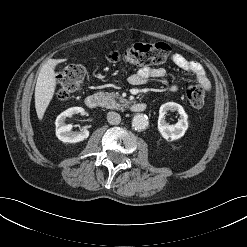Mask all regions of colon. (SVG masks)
Masks as SVG:
<instances>
[{
  "label": "colon",
  "instance_id": "1",
  "mask_svg": "<svg viewBox=\"0 0 247 247\" xmlns=\"http://www.w3.org/2000/svg\"><path fill=\"white\" fill-rule=\"evenodd\" d=\"M171 55V48L165 43H136L123 51L110 52L111 62L124 61L137 66H149L165 63ZM85 69L80 64L64 67L57 76V95L60 99H68L78 93L85 80ZM186 98L193 108H201L204 104V89L199 85H191L185 91Z\"/></svg>",
  "mask_w": 247,
  "mask_h": 247
}]
</instances>
